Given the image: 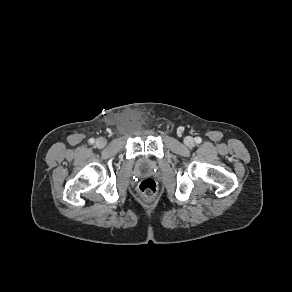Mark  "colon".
I'll return each mask as SVG.
<instances>
[{"label":"colon","mask_w":292,"mask_h":292,"mask_svg":"<svg viewBox=\"0 0 292 292\" xmlns=\"http://www.w3.org/2000/svg\"><path fill=\"white\" fill-rule=\"evenodd\" d=\"M139 192L146 199H152L158 192V185L152 178H146L139 184Z\"/></svg>","instance_id":"colon-1"}]
</instances>
